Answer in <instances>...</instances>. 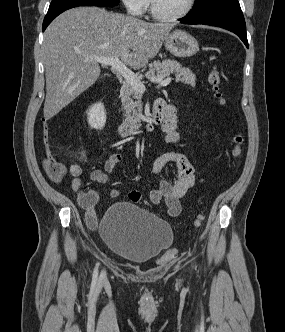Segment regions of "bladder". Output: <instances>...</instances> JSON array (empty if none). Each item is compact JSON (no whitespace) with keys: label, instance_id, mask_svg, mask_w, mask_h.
I'll list each match as a JSON object with an SVG mask.
<instances>
[{"label":"bladder","instance_id":"obj_1","mask_svg":"<svg viewBox=\"0 0 285 332\" xmlns=\"http://www.w3.org/2000/svg\"><path fill=\"white\" fill-rule=\"evenodd\" d=\"M100 235L113 254L131 263L159 256L173 240L167 222L131 202H116L106 209Z\"/></svg>","mask_w":285,"mask_h":332}]
</instances>
